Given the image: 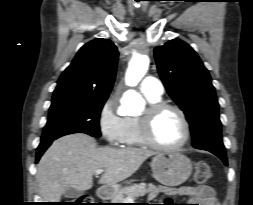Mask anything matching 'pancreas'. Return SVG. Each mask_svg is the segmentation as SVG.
<instances>
[{
	"mask_svg": "<svg viewBox=\"0 0 253 205\" xmlns=\"http://www.w3.org/2000/svg\"><path fill=\"white\" fill-rule=\"evenodd\" d=\"M146 194H150L149 199L152 200L157 196L158 192L153 184H134L119 190L111 196V203H129V199L135 200Z\"/></svg>",
	"mask_w": 253,
	"mask_h": 205,
	"instance_id": "pancreas-1",
	"label": "pancreas"
}]
</instances>
